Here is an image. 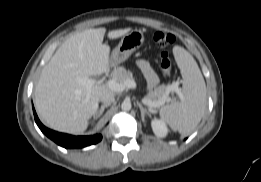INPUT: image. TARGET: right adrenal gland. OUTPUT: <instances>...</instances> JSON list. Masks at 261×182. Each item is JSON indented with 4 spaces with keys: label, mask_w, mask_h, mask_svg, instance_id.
I'll use <instances>...</instances> for the list:
<instances>
[{
    "label": "right adrenal gland",
    "mask_w": 261,
    "mask_h": 182,
    "mask_svg": "<svg viewBox=\"0 0 261 182\" xmlns=\"http://www.w3.org/2000/svg\"><path fill=\"white\" fill-rule=\"evenodd\" d=\"M108 106L109 105H102L99 109H97L94 118H99L103 114L105 108H107Z\"/></svg>",
    "instance_id": "obj_1"
}]
</instances>
